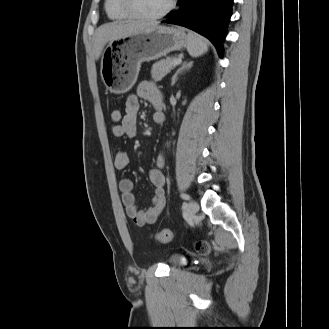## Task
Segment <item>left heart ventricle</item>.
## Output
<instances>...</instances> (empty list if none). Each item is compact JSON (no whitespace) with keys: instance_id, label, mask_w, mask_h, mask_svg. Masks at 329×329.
Wrapping results in <instances>:
<instances>
[{"instance_id":"1","label":"left heart ventricle","mask_w":329,"mask_h":329,"mask_svg":"<svg viewBox=\"0 0 329 329\" xmlns=\"http://www.w3.org/2000/svg\"><path fill=\"white\" fill-rule=\"evenodd\" d=\"M169 0H133L135 8L143 15L152 16L164 10Z\"/></svg>"}]
</instances>
